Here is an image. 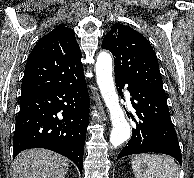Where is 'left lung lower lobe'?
<instances>
[{
	"label": "left lung lower lobe",
	"instance_id": "left-lung-lower-lobe-1",
	"mask_svg": "<svg viewBox=\"0 0 194 178\" xmlns=\"http://www.w3.org/2000/svg\"><path fill=\"white\" fill-rule=\"evenodd\" d=\"M119 93L128 84L138 120L132 137L118 155V159L131 154L156 152L168 154L182 163V155L174 126L171 122L166 94L161 90L145 88L121 79H115Z\"/></svg>",
	"mask_w": 194,
	"mask_h": 178
}]
</instances>
